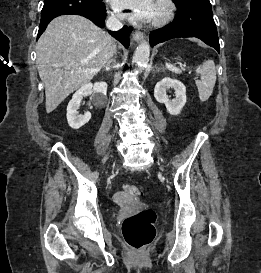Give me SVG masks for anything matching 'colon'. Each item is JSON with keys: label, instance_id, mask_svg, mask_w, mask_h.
Instances as JSON below:
<instances>
[{"label": "colon", "instance_id": "obj_1", "mask_svg": "<svg viewBox=\"0 0 261 273\" xmlns=\"http://www.w3.org/2000/svg\"><path fill=\"white\" fill-rule=\"evenodd\" d=\"M124 192L130 197L141 194V187L133 184L124 186ZM118 200L122 197L118 196ZM156 215L152 210L145 209L127 217L122 223V235L125 242L135 251L145 249L155 237L154 222Z\"/></svg>", "mask_w": 261, "mask_h": 273}]
</instances>
